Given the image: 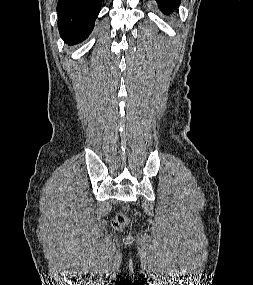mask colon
<instances>
[{
    "label": "colon",
    "mask_w": 253,
    "mask_h": 285,
    "mask_svg": "<svg viewBox=\"0 0 253 285\" xmlns=\"http://www.w3.org/2000/svg\"><path fill=\"white\" fill-rule=\"evenodd\" d=\"M128 223H129V216L125 211H123L116 215V217L112 222V225L115 229L120 230L125 228L128 225Z\"/></svg>",
    "instance_id": "5ec220e1"
}]
</instances>
